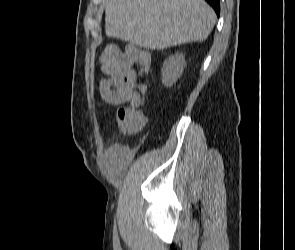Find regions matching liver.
I'll use <instances>...</instances> for the list:
<instances>
[{
    "instance_id": "obj_1",
    "label": "liver",
    "mask_w": 295,
    "mask_h": 250,
    "mask_svg": "<svg viewBox=\"0 0 295 250\" xmlns=\"http://www.w3.org/2000/svg\"><path fill=\"white\" fill-rule=\"evenodd\" d=\"M216 22L204 0H105V32L148 49L203 42Z\"/></svg>"
}]
</instances>
